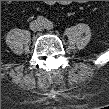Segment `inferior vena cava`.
I'll list each match as a JSON object with an SVG mask.
<instances>
[{"instance_id": "inferior-vena-cava-1", "label": "inferior vena cava", "mask_w": 109, "mask_h": 109, "mask_svg": "<svg viewBox=\"0 0 109 109\" xmlns=\"http://www.w3.org/2000/svg\"><path fill=\"white\" fill-rule=\"evenodd\" d=\"M30 28L33 31H41L43 29L42 25L38 23L37 21L31 22Z\"/></svg>"}]
</instances>
